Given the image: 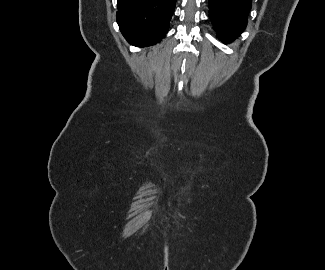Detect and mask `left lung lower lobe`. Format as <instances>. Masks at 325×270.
Listing matches in <instances>:
<instances>
[{"label": "left lung lower lobe", "instance_id": "obj_1", "mask_svg": "<svg viewBox=\"0 0 325 270\" xmlns=\"http://www.w3.org/2000/svg\"><path fill=\"white\" fill-rule=\"evenodd\" d=\"M209 3V16L216 34L222 42H232L247 25L252 0H209Z\"/></svg>", "mask_w": 325, "mask_h": 270}]
</instances>
